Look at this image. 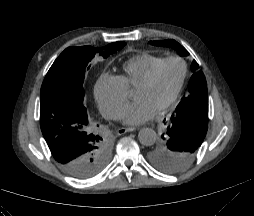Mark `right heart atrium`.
<instances>
[{
  "label": "right heart atrium",
  "instance_id": "obj_1",
  "mask_svg": "<svg viewBox=\"0 0 254 216\" xmlns=\"http://www.w3.org/2000/svg\"><path fill=\"white\" fill-rule=\"evenodd\" d=\"M94 96L101 114L107 119H118L128 101V89L118 76L102 74L94 87Z\"/></svg>",
  "mask_w": 254,
  "mask_h": 216
}]
</instances>
